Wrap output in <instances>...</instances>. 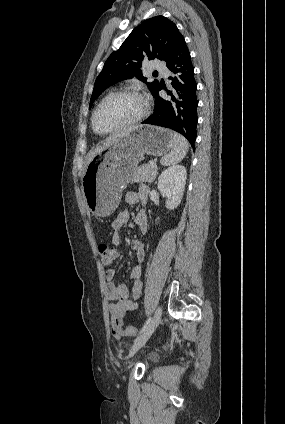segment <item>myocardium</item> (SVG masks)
I'll return each mask as SVG.
<instances>
[{
  "mask_svg": "<svg viewBox=\"0 0 285 424\" xmlns=\"http://www.w3.org/2000/svg\"><path fill=\"white\" fill-rule=\"evenodd\" d=\"M121 95H136V96H139L144 102V109L142 110V112L136 118H134L133 120H131V121H129V122H127V123H125L121 126H118V127L112 128V129H108V130H104V131L99 130L96 126V116H97L98 111L108 100H110L113 97L121 96ZM149 110H150V103H149L148 98L138 89L127 88V89L118 90V91H115V92L108 94L97 105V107L95 108V110L92 114L91 125H92L93 130L99 135L121 132V131H124L126 129H129V128L137 125L142 120H144L145 117L148 115Z\"/></svg>",
  "mask_w": 285,
  "mask_h": 424,
  "instance_id": "myocardium-1",
  "label": "myocardium"
}]
</instances>
